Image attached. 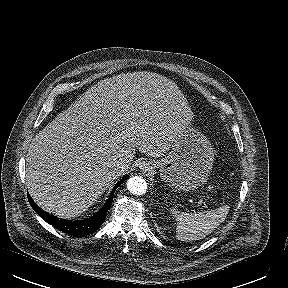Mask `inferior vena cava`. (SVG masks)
Returning <instances> with one entry per match:
<instances>
[{
	"label": "inferior vena cava",
	"mask_w": 288,
	"mask_h": 288,
	"mask_svg": "<svg viewBox=\"0 0 288 288\" xmlns=\"http://www.w3.org/2000/svg\"><path fill=\"white\" fill-rule=\"evenodd\" d=\"M126 164L120 161H117L110 165L109 170H108V175L110 176H115L116 174H120L126 169Z\"/></svg>",
	"instance_id": "obj_1"
}]
</instances>
